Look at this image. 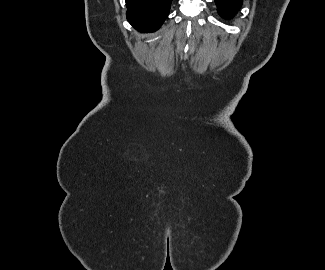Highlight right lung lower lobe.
I'll return each mask as SVG.
<instances>
[{
    "label": "right lung lower lobe",
    "instance_id": "right-lung-lower-lobe-1",
    "mask_svg": "<svg viewBox=\"0 0 325 270\" xmlns=\"http://www.w3.org/2000/svg\"><path fill=\"white\" fill-rule=\"evenodd\" d=\"M172 0H126L127 19L140 32L157 30L167 18Z\"/></svg>",
    "mask_w": 325,
    "mask_h": 270
}]
</instances>
